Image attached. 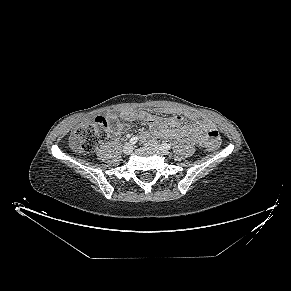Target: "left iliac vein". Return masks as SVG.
Here are the masks:
<instances>
[{"label": "left iliac vein", "instance_id": "left-iliac-vein-1", "mask_svg": "<svg viewBox=\"0 0 291 291\" xmlns=\"http://www.w3.org/2000/svg\"><path fill=\"white\" fill-rule=\"evenodd\" d=\"M148 144L155 148L156 150H158L159 152H161L163 155H168L169 154V151L168 149L164 148L162 145H160L157 141L155 140H150L148 142Z\"/></svg>", "mask_w": 291, "mask_h": 291}]
</instances>
